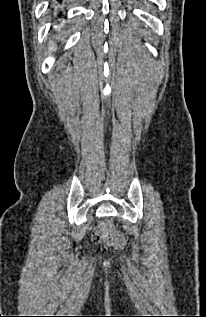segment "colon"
I'll use <instances>...</instances> for the list:
<instances>
[{
    "label": "colon",
    "instance_id": "5ec220e1",
    "mask_svg": "<svg viewBox=\"0 0 206 317\" xmlns=\"http://www.w3.org/2000/svg\"><path fill=\"white\" fill-rule=\"evenodd\" d=\"M94 241L108 243L116 248H122L125 245L123 234L117 231L109 222L101 225L100 229L94 234Z\"/></svg>",
    "mask_w": 206,
    "mask_h": 317
}]
</instances>
